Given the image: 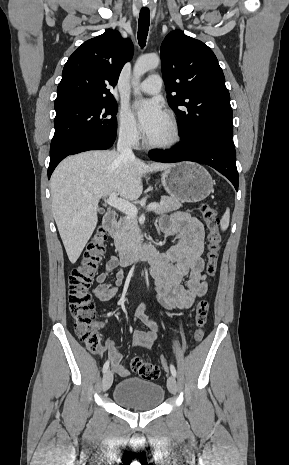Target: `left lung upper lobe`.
Instances as JSON below:
<instances>
[{"label": "left lung upper lobe", "mask_w": 289, "mask_h": 465, "mask_svg": "<svg viewBox=\"0 0 289 465\" xmlns=\"http://www.w3.org/2000/svg\"><path fill=\"white\" fill-rule=\"evenodd\" d=\"M161 62L168 103L180 121L181 139L201 130L232 137L230 95L212 50L175 30L161 45Z\"/></svg>", "instance_id": "5c2ea615"}]
</instances>
